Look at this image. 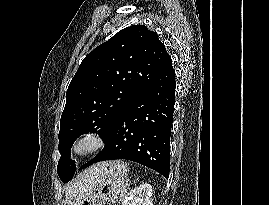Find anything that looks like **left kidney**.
<instances>
[{
	"label": "left kidney",
	"mask_w": 269,
	"mask_h": 205,
	"mask_svg": "<svg viewBox=\"0 0 269 205\" xmlns=\"http://www.w3.org/2000/svg\"><path fill=\"white\" fill-rule=\"evenodd\" d=\"M152 186L142 184L129 192L122 205H153Z\"/></svg>",
	"instance_id": "obj_1"
}]
</instances>
